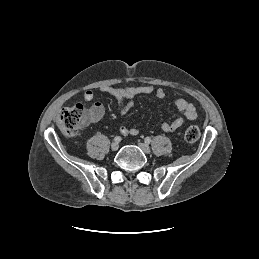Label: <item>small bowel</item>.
Here are the masks:
<instances>
[{
    "label": "small bowel",
    "mask_w": 259,
    "mask_h": 259,
    "mask_svg": "<svg viewBox=\"0 0 259 259\" xmlns=\"http://www.w3.org/2000/svg\"><path fill=\"white\" fill-rule=\"evenodd\" d=\"M100 91L109 93L115 96L119 103L120 113H127L134 105V99L139 95H148L155 93L158 99H165L167 92L163 88L155 89L152 85L143 86H125V87H114V86H101ZM86 101H91L94 98V93L91 90H87L83 95ZM175 108L180 112V115L176 117L171 122H164L161 128L165 132H173L179 129L185 120H195L197 118V111L195 106L183 98H178L174 100ZM94 114L93 120H99L103 115V107L100 103H95L92 107ZM120 133L124 136L128 135H138L139 130L137 128H128L122 126L120 128Z\"/></svg>",
    "instance_id": "c3829d8e"
}]
</instances>
